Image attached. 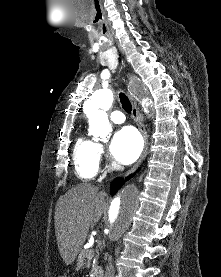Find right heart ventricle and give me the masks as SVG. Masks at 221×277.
<instances>
[{"label":"right heart ventricle","mask_w":221,"mask_h":277,"mask_svg":"<svg viewBox=\"0 0 221 277\" xmlns=\"http://www.w3.org/2000/svg\"><path fill=\"white\" fill-rule=\"evenodd\" d=\"M99 144L81 135L77 138L72 153L75 174L83 181L92 180L99 171Z\"/></svg>","instance_id":"1"}]
</instances>
